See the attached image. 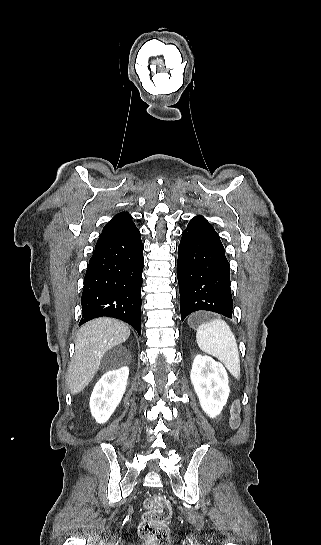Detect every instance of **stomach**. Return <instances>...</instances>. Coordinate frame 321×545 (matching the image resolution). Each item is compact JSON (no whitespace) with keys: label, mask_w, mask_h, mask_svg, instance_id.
<instances>
[{"label":"stomach","mask_w":321,"mask_h":545,"mask_svg":"<svg viewBox=\"0 0 321 545\" xmlns=\"http://www.w3.org/2000/svg\"><path fill=\"white\" fill-rule=\"evenodd\" d=\"M201 313H194V315H191L188 319V325L189 327H192V329H196L197 325H199L201 319Z\"/></svg>","instance_id":"1"}]
</instances>
